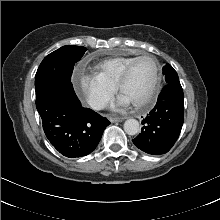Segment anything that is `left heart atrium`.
Instances as JSON below:
<instances>
[{
    "mask_svg": "<svg viewBox=\"0 0 220 220\" xmlns=\"http://www.w3.org/2000/svg\"><path fill=\"white\" fill-rule=\"evenodd\" d=\"M128 103L129 101L124 96L121 95L116 103V106H124Z\"/></svg>",
    "mask_w": 220,
    "mask_h": 220,
    "instance_id": "39dd6f15",
    "label": "left heart atrium"
}]
</instances>
